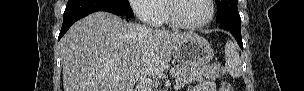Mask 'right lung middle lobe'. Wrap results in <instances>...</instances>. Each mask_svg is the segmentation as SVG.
I'll use <instances>...</instances> for the list:
<instances>
[{
  "label": "right lung middle lobe",
  "instance_id": "1",
  "mask_svg": "<svg viewBox=\"0 0 304 91\" xmlns=\"http://www.w3.org/2000/svg\"><path fill=\"white\" fill-rule=\"evenodd\" d=\"M116 8L122 11V13L127 17H133V11L130 7L128 0H113Z\"/></svg>",
  "mask_w": 304,
  "mask_h": 91
}]
</instances>
